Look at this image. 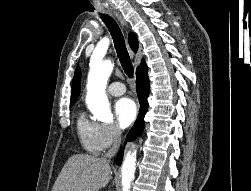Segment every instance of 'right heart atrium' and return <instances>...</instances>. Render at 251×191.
Segmentation results:
<instances>
[{"instance_id":"d8ad5b80","label":"right heart atrium","mask_w":251,"mask_h":191,"mask_svg":"<svg viewBox=\"0 0 251 191\" xmlns=\"http://www.w3.org/2000/svg\"><path fill=\"white\" fill-rule=\"evenodd\" d=\"M97 140L101 150L107 149L119 142L120 133L109 123H100L97 127Z\"/></svg>"}]
</instances>
